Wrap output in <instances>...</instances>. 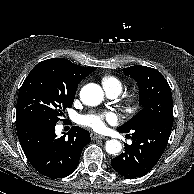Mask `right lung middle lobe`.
I'll return each instance as SVG.
<instances>
[{
    "mask_svg": "<svg viewBox=\"0 0 194 194\" xmlns=\"http://www.w3.org/2000/svg\"><path fill=\"white\" fill-rule=\"evenodd\" d=\"M77 87L49 64L38 63L23 82L17 100L16 123L29 120L57 123L73 104Z\"/></svg>",
    "mask_w": 194,
    "mask_h": 194,
    "instance_id": "1",
    "label": "right lung middle lobe"
}]
</instances>
